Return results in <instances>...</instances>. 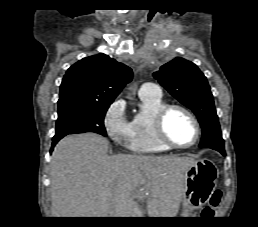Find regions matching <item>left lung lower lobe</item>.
I'll use <instances>...</instances> for the list:
<instances>
[{
    "label": "left lung lower lobe",
    "instance_id": "0a47b994",
    "mask_svg": "<svg viewBox=\"0 0 258 227\" xmlns=\"http://www.w3.org/2000/svg\"><path fill=\"white\" fill-rule=\"evenodd\" d=\"M220 153H222L223 155H225V150L222 149V150H219Z\"/></svg>",
    "mask_w": 258,
    "mask_h": 227
}]
</instances>
